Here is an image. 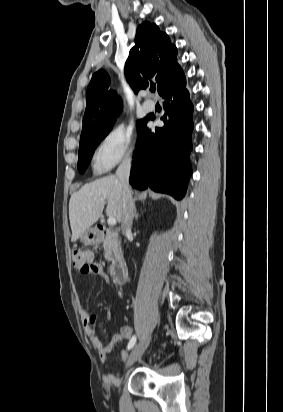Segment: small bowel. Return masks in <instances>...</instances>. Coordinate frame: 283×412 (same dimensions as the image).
Instances as JSON below:
<instances>
[{"label":"small bowel","instance_id":"1","mask_svg":"<svg viewBox=\"0 0 283 412\" xmlns=\"http://www.w3.org/2000/svg\"><path fill=\"white\" fill-rule=\"evenodd\" d=\"M92 275L100 276L108 280L107 274L104 272V270L101 267L96 274H92ZM80 315H81V319L83 322L84 330L86 334L90 337V340L93 346L97 349L99 353V357L101 361L103 362L108 360L109 354L111 353L112 349L117 343L130 339L133 334L132 327L124 326L122 328L121 334L114 336L110 342L103 344L101 340L99 339V337L97 336L96 330H95V325L97 322L96 314L89 312L87 310H81ZM123 357L126 360H128V358L125 355H123ZM103 379L109 385H118L121 381L120 376L113 374V373L104 374Z\"/></svg>","mask_w":283,"mask_h":412}]
</instances>
